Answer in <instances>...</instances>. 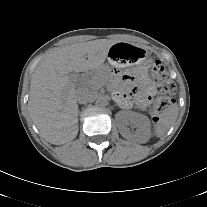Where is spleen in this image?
Masks as SVG:
<instances>
[{"mask_svg": "<svg viewBox=\"0 0 207 207\" xmlns=\"http://www.w3.org/2000/svg\"><path fill=\"white\" fill-rule=\"evenodd\" d=\"M177 117L178 108L176 105H171L170 107L165 109L161 113L159 120L154 124L153 134L156 137L164 136L172 127Z\"/></svg>", "mask_w": 207, "mask_h": 207, "instance_id": "obj_1", "label": "spleen"}]
</instances>
